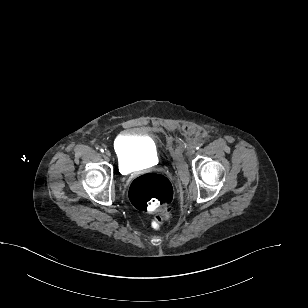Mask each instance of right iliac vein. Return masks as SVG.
Instances as JSON below:
<instances>
[{
    "label": "right iliac vein",
    "mask_w": 308,
    "mask_h": 308,
    "mask_svg": "<svg viewBox=\"0 0 308 308\" xmlns=\"http://www.w3.org/2000/svg\"><path fill=\"white\" fill-rule=\"evenodd\" d=\"M105 155L108 156V157H110V156H111L110 151H109V150H106V151H105Z\"/></svg>",
    "instance_id": "right-iliac-vein-1"
}]
</instances>
